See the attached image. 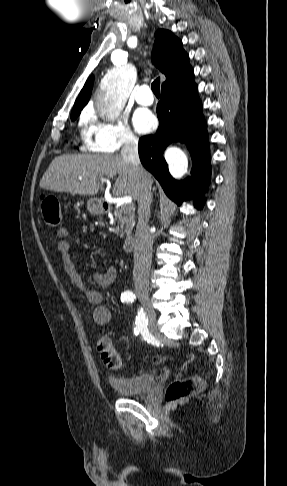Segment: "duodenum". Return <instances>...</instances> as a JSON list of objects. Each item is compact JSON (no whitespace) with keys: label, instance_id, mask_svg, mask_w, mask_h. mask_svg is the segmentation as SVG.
I'll return each mask as SVG.
<instances>
[{"label":"duodenum","instance_id":"duodenum-1","mask_svg":"<svg viewBox=\"0 0 287 486\" xmlns=\"http://www.w3.org/2000/svg\"><path fill=\"white\" fill-rule=\"evenodd\" d=\"M102 207H103V210H104L105 212H108V211H110V209H111L110 204H109V203H107V202H103V203H102ZM134 245H135V237H134V235H133L132 233H131V234H128V235L125 237V239H124V243H123V250H124L125 252H127V253H128V252H131V251L133 250V248H134Z\"/></svg>","mask_w":287,"mask_h":486}]
</instances>
